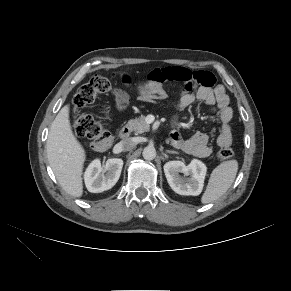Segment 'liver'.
Listing matches in <instances>:
<instances>
[{
    "mask_svg": "<svg viewBox=\"0 0 291 291\" xmlns=\"http://www.w3.org/2000/svg\"><path fill=\"white\" fill-rule=\"evenodd\" d=\"M69 113L68 104L55 117L50 127L46 151L49 164L61 187L71 196L81 197L86 154L73 134Z\"/></svg>",
    "mask_w": 291,
    "mask_h": 291,
    "instance_id": "6515ba94",
    "label": "liver"
}]
</instances>
